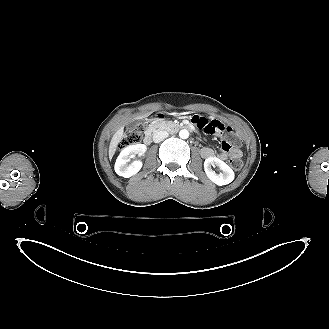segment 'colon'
I'll use <instances>...</instances> for the list:
<instances>
[{
  "label": "colon",
  "instance_id": "5ec220e1",
  "mask_svg": "<svg viewBox=\"0 0 329 329\" xmlns=\"http://www.w3.org/2000/svg\"><path fill=\"white\" fill-rule=\"evenodd\" d=\"M226 129H229V132H226ZM226 129L218 134L222 138L223 148L228 150L231 147L240 146L241 140L237 136L235 131L230 127H227ZM223 133H226V136H223ZM142 135L143 129L140 125L127 129L119 143V149H124L132 145L138 144L142 139ZM229 164L232 169L240 170L243 166V161L239 157H231L229 160Z\"/></svg>",
  "mask_w": 329,
  "mask_h": 329
}]
</instances>
